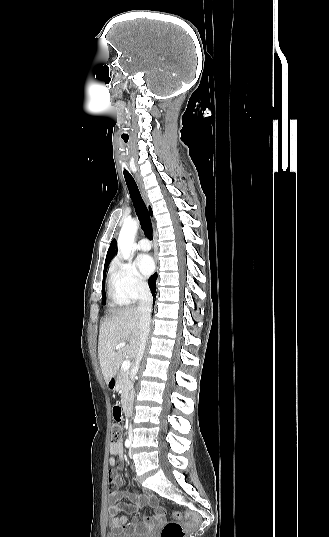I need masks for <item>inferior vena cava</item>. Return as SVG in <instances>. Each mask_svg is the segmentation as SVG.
Instances as JSON below:
<instances>
[{
  "mask_svg": "<svg viewBox=\"0 0 329 537\" xmlns=\"http://www.w3.org/2000/svg\"><path fill=\"white\" fill-rule=\"evenodd\" d=\"M152 303L153 297L148 285H142L139 291V304L137 307V311L140 317V344L135 359V371L138 370L139 364L145 351L146 341L150 331Z\"/></svg>",
  "mask_w": 329,
  "mask_h": 537,
  "instance_id": "602c4592",
  "label": "inferior vena cava"
}]
</instances>
